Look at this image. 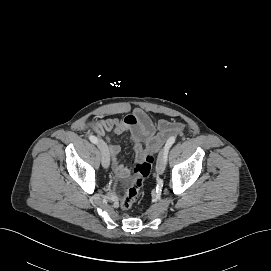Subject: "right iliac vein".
<instances>
[{
  "instance_id": "63e3f726",
  "label": "right iliac vein",
  "mask_w": 271,
  "mask_h": 271,
  "mask_svg": "<svg viewBox=\"0 0 271 271\" xmlns=\"http://www.w3.org/2000/svg\"><path fill=\"white\" fill-rule=\"evenodd\" d=\"M98 147H99L100 152H101V163H102V166L104 168H108L109 167V163H110V154H109L108 147H107L106 143H104L103 141H99L98 142Z\"/></svg>"
}]
</instances>
